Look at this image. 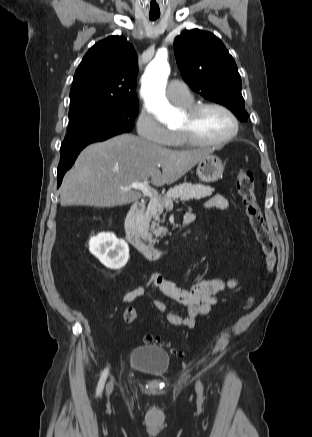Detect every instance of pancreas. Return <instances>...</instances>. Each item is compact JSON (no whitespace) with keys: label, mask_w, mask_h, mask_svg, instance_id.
Here are the masks:
<instances>
[{"label":"pancreas","mask_w":312,"mask_h":437,"mask_svg":"<svg viewBox=\"0 0 312 437\" xmlns=\"http://www.w3.org/2000/svg\"><path fill=\"white\" fill-rule=\"evenodd\" d=\"M213 188L202 184L182 183L169 189L164 197L151 200L145 210L140 222V236L143 240L148 241L150 246L158 242L157 238L166 235L167 229L160 226L163 222L160 215L165 208L171 207L172 199L180 198L181 201L190 199L200 200L204 197L211 196ZM155 235V238H153Z\"/></svg>","instance_id":"obj_1"}]
</instances>
